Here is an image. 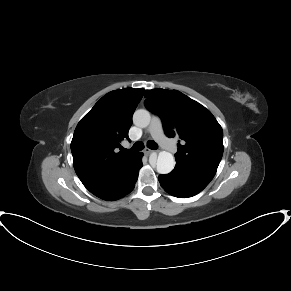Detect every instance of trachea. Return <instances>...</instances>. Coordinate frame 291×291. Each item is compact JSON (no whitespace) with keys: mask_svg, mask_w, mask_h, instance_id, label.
<instances>
[{"mask_svg":"<svg viewBox=\"0 0 291 291\" xmlns=\"http://www.w3.org/2000/svg\"><path fill=\"white\" fill-rule=\"evenodd\" d=\"M147 147L149 149L155 150L158 148V145L153 140H150L147 142ZM143 148H144V144L138 141L133 145V147L131 148V151H141L143 150Z\"/></svg>","mask_w":291,"mask_h":291,"instance_id":"3493384b","label":"trachea"}]
</instances>
